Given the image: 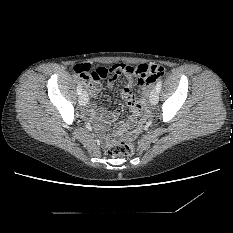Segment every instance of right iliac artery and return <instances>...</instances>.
Masks as SVG:
<instances>
[{
	"instance_id": "right-iliac-artery-1",
	"label": "right iliac artery",
	"mask_w": 233,
	"mask_h": 233,
	"mask_svg": "<svg viewBox=\"0 0 233 233\" xmlns=\"http://www.w3.org/2000/svg\"><path fill=\"white\" fill-rule=\"evenodd\" d=\"M82 93V85L79 83L77 86V94L80 95Z\"/></svg>"
}]
</instances>
